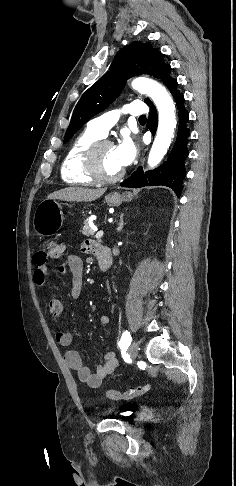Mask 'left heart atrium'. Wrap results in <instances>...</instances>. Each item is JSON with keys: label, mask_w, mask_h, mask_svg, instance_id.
Listing matches in <instances>:
<instances>
[{"label": "left heart atrium", "mask_w": 236, "mask_h": 486, "mask_svg": "<svg viewBox=\"0 0 236 486\" xmlns=\"http://www.w3.org/2000/svg\"><path fill=\"white\" fill-rule=\"evenodd\" d=\"M115 154L119 165L125 168L135 159L137 149L132 140L125 136L121 142L115 147Z\"/></svg>", "instance_id": "1"}]
</instances>
